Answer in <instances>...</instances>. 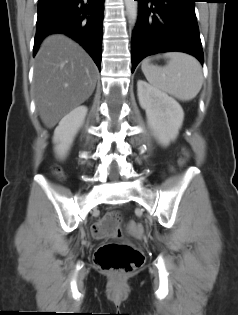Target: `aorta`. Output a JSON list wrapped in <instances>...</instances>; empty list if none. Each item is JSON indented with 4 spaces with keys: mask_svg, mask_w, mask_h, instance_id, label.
I'll return each instance as SVG.
<instances>
[{
    "mask_svg": "<svg viewBox=\"0 0 238 315\" xmlns=\"http://www.w3.org/2000/svg\"><path fill=\"white\" fill-rule=\"evenodd\" d=\"M129 22L135 25L138 17V2L134 0H124Z\"/></svg>",
    "mask_w": 238,
    "mask_h": 315,
    "instance_id": "obj_1",
    "label": "aorta"
}]
</instances>
